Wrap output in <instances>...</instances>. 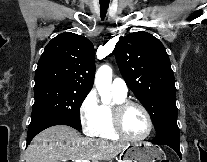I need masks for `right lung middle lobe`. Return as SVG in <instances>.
Instances as JSON below:
<instances>
[{
    "mask_svg": "<svg viewBox=\"0 0 207 162\" xmlns=\"http://www.w3.org/2000/svg\"><path fill=\"white\" fill-rule=\"evenodd\" d=\"M87 94V92L57 86L34 88L35 102L31 120L40 117H56L80 129V107Z\"/></svg>",
    "mask_w": 207,
    "mask_h": 162,
    "instance_id": "dd1d6c3e",
    "label": "right lung middle lobe"
}]
</instances>
